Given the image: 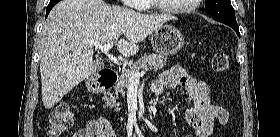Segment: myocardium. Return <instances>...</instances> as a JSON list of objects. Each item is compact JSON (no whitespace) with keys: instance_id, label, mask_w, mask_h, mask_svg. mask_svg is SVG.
Returning a JSON list of instances; mask_svg holds the SVG:
<instances>
[{"instance_id":"f54148a6","label":"myocardium","mask_w":280,"mask_h":137,"mask_svg":"<svg viewBox=\"0 0 280 137\" xmlns=\"http://www.w3.org/2000/svg\"><path fill=\"white\" fill-rule=\"evenodd\" d=\"M156 7L163 12L169 13V14H177V15H181V14H187L193 10H195L198 5L200 0H191V3L186 5V6H182V7H178V8H170L167 7L163 4H160V0H152Z\"/></svg>"}]
</instances>
